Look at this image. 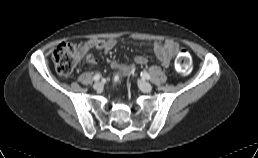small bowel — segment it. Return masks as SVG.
Instances as JSON below:
<instances>
[{
    "label": "small bowel",
    "instance_id": "small-bowel-1",
    "mask_svg": "<svg viewBox=\"0 0 258 158\" xmlns=\"http://www.w3.org/2000/svg\"><path fill=\"white\" fill-rule=\"evenodd\" d=\"M89 48H94L98 51H103L105 54H108L116 45V40L114 39H97L89 41L86 43ZM158 61L162 66L168 67L174 55L178 52L179 45L172 39H166L164 41H157L152 46ZM135 62L140 65H145L148 62V59L145 56L135 57ZM94 59L90 60L89 63H95ZM115 66V63H112ZM133 69L132 66H123L119 68L120 72H128Z\"/></svg>",
    "mask_w": 258,
    "mask_h": 158
}]
</instances>
